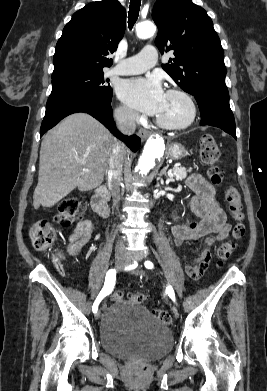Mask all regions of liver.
Returning a JSON list of instances; mask_svg holds the SVG:
<instances>
[{"mask_svg": "<svg viewBox=\"0 0 267 391\" xmlns=\"http://www.w3.org/2000/svg\"><path fill=\"white\" fill-rule=\"evenodd\" d=\"M116 141L100 122L86 113L71 114L47 132L41 143L34 208L54 206L76 187L80 191L98 187L104 180ZM84 168L88 171L84 172Z\"/></svg>", "mask_w": 267, "mask_h": 391, "instance_id": "1", "label": "liver"}]
</instances>
